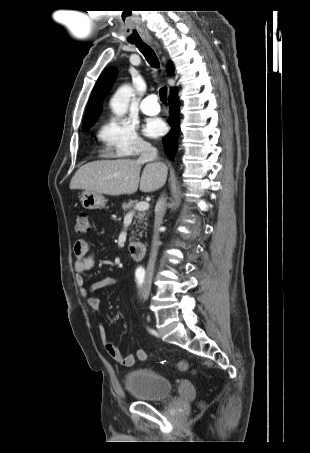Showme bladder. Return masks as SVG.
Wrapping results in <instances>:
<instances>
[{
    "label": "bladder",
    "instance_id": "bladder-1",
    "mask_svg": "<svg viewBox=\"0 0 310 453\" xmlns=\"http://www.w3.org/2000/svg\"><path fill=\"white\" fill-rule=\"evenodd\" d=\"M125 388L137 400L142 402H157L172 394L170 380L148 368L129 372L125 379Z\"/></svg>",
    "mask_w": 310,
    "mask_h": 453
}]
</instances>
